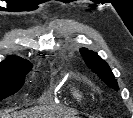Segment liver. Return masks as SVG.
Listing matches in <instances>:
<instances>
[{
    "instance_id": "1",
    "label": "liver",
    "mask_w": 133,
    "mask_h": 118,
    "mask_svg": "<svg viewBox=\"0 0 133 118\" xmlns=\"http://www.w3.org/2000/svg\"><path fill=\"white\" fill-rule=\"evenodd\" d=\"M76 112L59 107L40 106L9 114L0 112V118H75Z\"/></svg>"
}]
</instances>
